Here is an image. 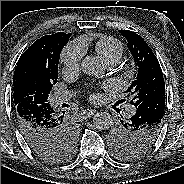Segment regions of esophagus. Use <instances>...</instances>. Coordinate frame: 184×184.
I'll return each mask as SVG.
<instances>
[{"label": "esophagus", "mask_w": 184, "mask_h": 184, "mask_svg": "<svg viewBox=\"0 0 184 184\" xmlns=\"http://www.w3.org/2000/svg\"><path fill=\"white\" fill-rule=\"evenodd\" d=\"M95 112L96 110L94 109H87L83 111V115H85L86 117H91L92 115H94Z\"/></svg>", "instance_id": "esophagus-1"}]
</instances>
